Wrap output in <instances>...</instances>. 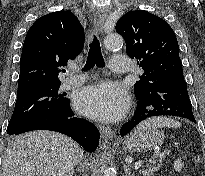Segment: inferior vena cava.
<instances>
[{"instance_id": "obj_1", "label": "inferior vena cava", "mask_w": 205, "mask_h": 176, "mask_svg": "<svg viewBox=\"0 0 205 176\" xmlns=\"http://www.w3.org/2000/svg\"><path fill=\"white\" fill-rule=\"evenodd\" d=\"M82 159H83V157H81L80 159H79V161H78V163L81 165V161H82ZM80 171H81V169H79ZM82 171H83V169H82Z\"/></svg>"}]
</instances>
